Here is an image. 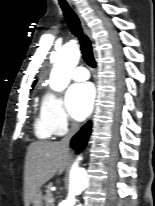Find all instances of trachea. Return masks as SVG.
<instances>
[{"label": "trachea", "mask_w": 155, "mask_h": 206, "mask_svg": "<svg viewBox=\"0 0 155 206\" xmlns=\"http://www.w3.org/2000/svg\"><path fill=\"white\" fill-rule=\"evenodd\" d=\"M60 6L63 10L64 17L66 19V22L68 24V27L70 31L75 35L80 42L81 45V52H82V57L84 61L90 66V67H95L96 62L93 57V52H92V47L90 40L86 35L83 34L80 21L75 14V12L71 9V7L67 4L66 1H61Z\"/></svg>", "instance_id": "obj_1"}]
</instances>
